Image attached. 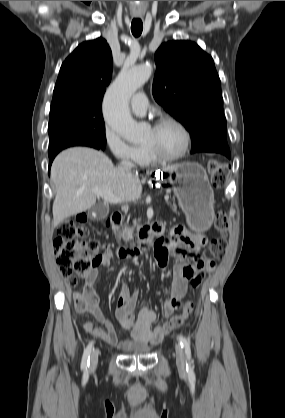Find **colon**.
I'll return each instance as SVG.
<instances>
[{
	"instance_id": "5ec220e1",
	"label": "colon",
	"mask_w": 285,
	"mask_h": 418,
	"mask_svg": "<svg viewBox=\"0 0 285 418\" xmlns=\"http://www.w3.org/2000/svg\"><path fill=\"white\" fill-rule=\"evenodd\" d=\"M210 178L215 186H222L226 180V173L222 165L212 161L209 164ZM215 229L218 235L213 238L209 244V251L213 257L219 258L224 256L227 250V229L228 218L224 212H219L216 216ZM87 216L79 214L76 218L64 220L58 228V233L53 241L54 250L57 255V262L63 275L70 278L72 285H77L80 279L88 276L92 268L97 265L99 259L89 257L90 253H94L97 249V243L92 240H86L88 235ZM185 230L177 228L176 233L182 234ZM189 245L195 248V244L190 242ZM153 253L158 262L165 261L168 257V250L161 240H157L154 244ZM214 268V262L208 266L211 271ZM191 303L186 301L180 314L172 316L165 322L158 331L167 334L178 328L189 312L191 311Z\"/></svg>"
}]
</instances>
